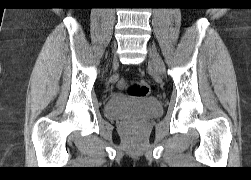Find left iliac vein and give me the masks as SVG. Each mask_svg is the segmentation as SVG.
Masks as SVG:
<instances>
[{
	"label": "left iliac vein",
	"instance_id": "1",
	"mask_svg": "<svg viewBox=\"0 0 251 180\" xmlns=\"http://www.w3.org/2000/svg\"><path fill=\"white\" fill-rule=\"evenodd\" d=\"M148 51H149V57H150V60H151V63L153 65L154 69L159 74H164L165 73V65H164V62L161 59L160 55L158 54L157 50L154 47L149 46Z\"/></svg>",
	"mask_w": 251,
	"mask_h": 180
}]
</instances>
